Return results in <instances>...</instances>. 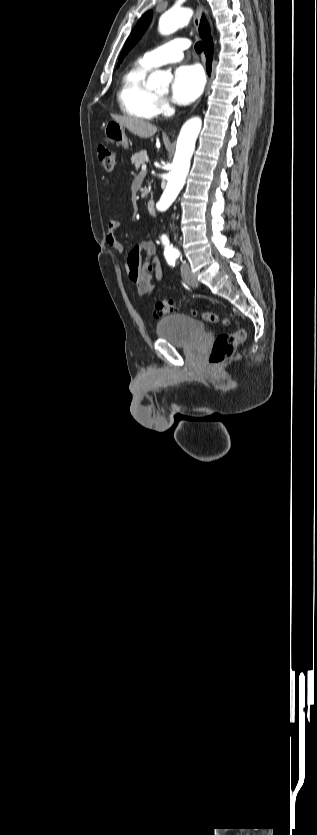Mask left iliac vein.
I'll return each mask as SVG.
<instances>
[{
    "label": "left iliac vein",
    "mask_w": 317,
    "mask_h": 835,
    "mask_svg": "<svg viewBox=\"0 0 317 835\" xmlns=\"http://www.w3.org/2000/svg\"><path fill=\"white\" fill-rule=\"evenodd\" d=\"M181 275L185 283H187L191 287H197L198 282L195 277L191 273L190 265L187 262H183L181 265Z\"/></svg>",
    "instance_id": "left-iliac-vein-1"
}]
</instances>
